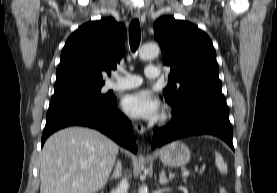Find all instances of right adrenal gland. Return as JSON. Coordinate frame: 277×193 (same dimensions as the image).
Returning <instances> with one entry per match:
<instances>
[{"label":"right adrenal gland","mask_w":277,"mask_h":193,"mask_svg":"<svg viewBox=\"0 0 277 193\" xmlns=\"http://www.w3.org/2000/svg\"><path fill=\"white\" fill-rule=\"evenodd\" d=\"M121 173H122V164L120 160H117V164L115 166L114 172L112 174V176L110 177V180H117L121 177Z\"/></svg>","instance_id":"obj_1"}]
</instances>
